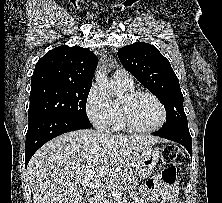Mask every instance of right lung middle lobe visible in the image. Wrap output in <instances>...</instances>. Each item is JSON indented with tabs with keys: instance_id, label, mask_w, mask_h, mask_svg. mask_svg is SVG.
Segmentation results:
<instances>
[{
	"instance_id": "right-lung-middle-lobe-1",
	"label": "right lung middle lobe",
	"mask_w": 222,
	"mask_h": 203,
	"mask_svg": "<svg viewBox=\"0 0 222 203\" xmlns=\"http://www.w3.org/2000/svg\"><path fill=\"white\" fill-rule=\"evenodd\" d=\"M91 86H52L30 92L28 120L60 116L89 120L85 105Z\"/></svg>"
}]
</instances>
